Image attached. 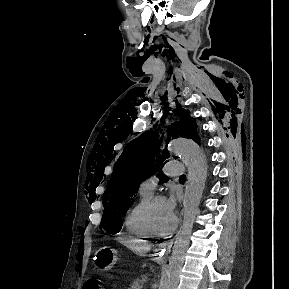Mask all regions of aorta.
<instances>
[{"label":"aorta","mask_w":289,"mask_h":289,"mask_svg":"<svg viewBox=\"0 0 289 289\" xmlns=\"http://www.w3.org/2000/svg\"><path fill=\"white\" fill-rule=\"evenodd\" d=\"M170 155L178 156L188 168L183 200V221L172 248L166 278L162 289H177L185 256L190 245L194 220L207 178V161L202 149L192 140L172 139L168 145Z\"/></svg>","instance_id":"762f6f07"}]
</instances>
